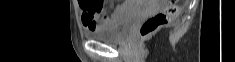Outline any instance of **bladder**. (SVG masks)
Masks as SVG:
<instances>
[{"label":"bladder","instance_id":"31cf9c89","mask_svg":"<svg viewBox=\"0 0 235 62\" xmlns=\"http://www.w3.org/2000/svg\"><path fill=\"white\" fill-rule=\"evenodd\" d=\"M140 16V5L130 1L117 10L114 16L96 29L89 30L86 36L90 39L105 42L119 43L125 40L130 29Z\"/></svg>","mask_w":235,"mask_h":62}]
</instances>
